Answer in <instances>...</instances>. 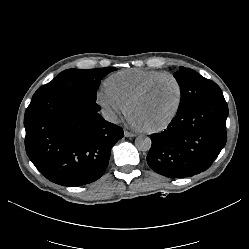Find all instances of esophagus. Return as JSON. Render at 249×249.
<instances>
[{"mask_svg": "<svg viewBox=\"0 0 249 249\" xmlns=\"http://www.w3.org/2000/svg\"><path fill=\"white\" fill-rule=\"evenodd\" d=\"M124 136L125 137H134L136 136V134L132 133V132H129L127 130L124 131Z\"/></svg>", "mask_w": 249, "mask_h": 249, "instance_id": "obj_1", "label": "esophagus"}]
</instances>
